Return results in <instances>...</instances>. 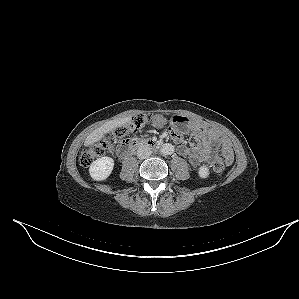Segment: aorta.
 I'll use <instances>...</instances> for the list:
<instances>
[{
	"mask_svg": "<svg viewBox=\"0 0 299 299\" xmlns=\"http://www.w3.org/2000/svg\"><path fill=\"white\" fill-rule=\"evenodd\" d=\"M161 152L164 155H171L174 152V146L170 143H166L162 146Z\"/></svg>",
	"mask_w": 299,
	"mask_h": 299,
	"instance_id": "aorta-1",
	"label": "aorta"
}]
</instances>
